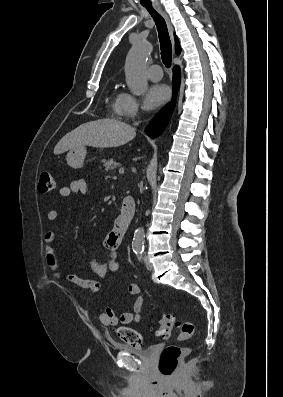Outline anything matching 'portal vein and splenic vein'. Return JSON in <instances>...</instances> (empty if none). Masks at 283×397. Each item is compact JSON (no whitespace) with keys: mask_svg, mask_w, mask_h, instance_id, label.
<instances>
[{"mask_svg":"<svg viewBox=\"0 0 283 397\" xmlns=\"http://www.w3.org/2000/svg\"><path fill=\"white\" fill-rule=\"evenodd\" d=\"M124 173V168H120L119 169V174H123Z\"/></svg>","mask_w":283,"mask_h":397,"instance_id":"1","label":"portal vein and splenic vein"}]
</instances>
